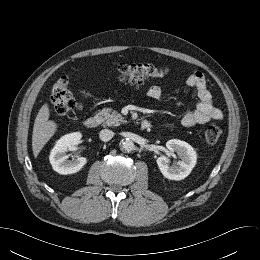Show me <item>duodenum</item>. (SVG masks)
Instances as JSON below:
<instances>
[{
    "label": "duodenum",
    "mask_w": 260,
    "mask_h": 260,
    "mask_svg": "<svg viewBox=\"0 0 260 260\" xmlns=\"http://www.w3.org/2000/svg\"><path fill=\"white\" fill-rule=\"evenodd\" d=\"M99 124V121L96 117H88L84 120V126L88 129L96 128ZM140 128L142 130H147L151 128V123L148 120H143L140 123Z\"/></svg>",
    "instance_id": "obj_1"
}]
</instances>
